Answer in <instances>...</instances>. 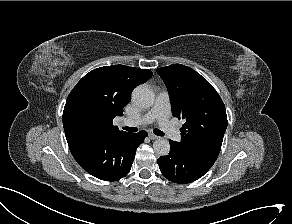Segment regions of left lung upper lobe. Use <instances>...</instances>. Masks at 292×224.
<instances>
[{
    "mask_svg": "<svg viewBox=\"0 0 292 224\" xmlns=\"http://www.w3.org/2000/svg\"><path fill=\"white\" fill-rule=\"evenodd\" d=\"M170 96L173 116L184 119L181 142L184 150L213 165L227 128L225 105L212 85L190 67L173 64L158 68Z\"/></svg>",
    "mask_w": 292,
    "mask_h": 224,
    "instance_id": "obj_1",
    "label": "left lung upper lobe"
}]
</instances>
